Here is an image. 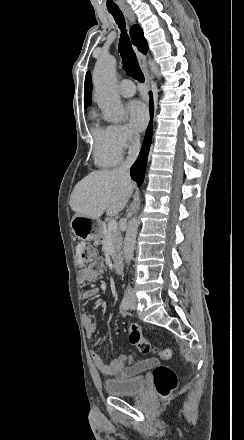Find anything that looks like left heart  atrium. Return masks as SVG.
Masks as SVG:
<instances>
[{
  "mask_svg": "<svg viewBox=\"0 0 244 440\" xmlns=\"http://www.w3.org/2000/svg\"><path fill=\"white\" fill-rule=\"evenodd\" d=\"M130 124L137 130H143L148 122V111L143 102L133 100L127 107Z\"/></svg>",
  "mask_w": 244,
  "mask_h": 440,
  "instance_id": "left-heart-atrium-1",
  "label": "left heart atrium"
}]
</instances>
